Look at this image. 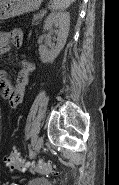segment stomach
<instances>
[{"instance_id":"obj_1","label":"stomach","mask_w":119,"mask_h":185,"mask_svg":"<svg viewBox=\"0 0 119 185\" xmlns=\"http://www.w3.org/2000/svg\"><path fill=\"white\" fill-rule=\"evenodd\" d=\"M43 0H0V20L37 10Z\"/></svg>"}]
</instances>
